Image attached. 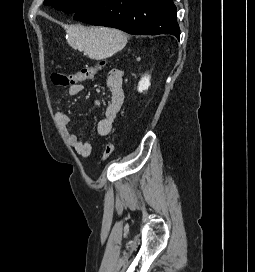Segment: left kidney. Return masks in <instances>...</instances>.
<instances>
[{
    "label": "left kidney",
    "mask_w": 255,
    "mask_h": 272,
    "mask_svg": "<svg viewBox=\"0 0 255 272\" xmlns=\"http://www.w3.org/2000/svg\"><path fill=\"white\" fill-rule=\"evenodd\" d=\"M151 76L146 74L144 75L138 83V91L142 93L143 91L147 90L151 83H150Z\"/></svg>",
    "instance_id": "left-kidney-1"
}]
</instances>
